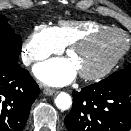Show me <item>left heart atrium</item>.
<instances>
[{
  "mask_svg": "<svg viewBox=\"0 0 131 131\" xmlns=\"http://www.w3.org/2000/svg\"><path fill=\"white\" fill-rule=\"evenodd\" d=\"M34 72L45 83L64 85L74 79L77 68L69 58H55L37 65Z\"/></svg>",
  "mask_w": 131,
  "mask_h": 131,
  "instance_id": "39dd6f15",
  "label": "left heart atrium"
}]
</instances>
